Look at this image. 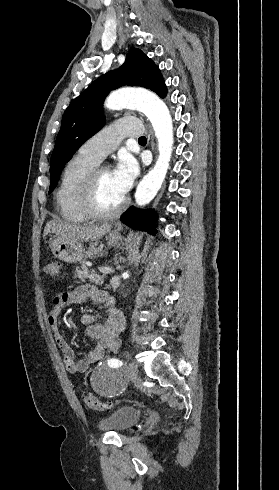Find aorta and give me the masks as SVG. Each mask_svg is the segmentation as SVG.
<instances>
[{
    "label": "aorta",
    "mask_w": 279,
    "mask_h": 490,
    "mask_svg": "<svg viewBox=\"0 0 279 490\" xmlns=\"http://www.w3.org/2000/svg\"><path fill=\"white\" fill-rule=\"evenodd\" d=\"M105 107L110 110L136 109L150 120L158 141L159 156L154 167L143 177L135 192L139 206L148 204L160 189L171 159L174 143L172 118L166 104L154 93L140 90H120L110 94Z\"/></svg>",
    "instance_id": "762f6f07"
}]
</instances>
